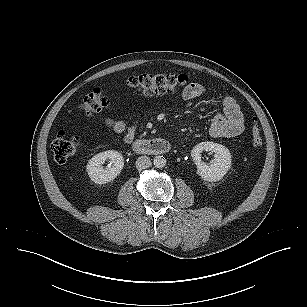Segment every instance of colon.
<instances>
[{
    "instance_id": "5ec220e1",
    "label": "colon",
    "mask_w": 307,
    "mask_h": 307,
    "mask_svg": "<svg viewBox=\"0 0 307 307\" xmlns=\"http://www.w3.org/2000/svg\"><path fill=\"white\" fill-rule=\"evenodd\" d=\"M128 85L138 95L147 97L180 91L188 86V78L182 74L158 73L143 74L129 78ZM107 97L100 91L86 96L81 104V109L87 115L102 110L108 106ZM250 141L253 148L262 146V136L256 117L251 119ZM79 138L59 132L52 143V152L57 162H65L78 150Z\"/></svg>"
}]
</instances>
